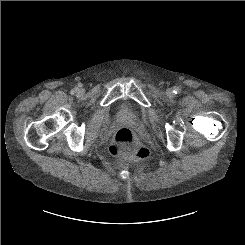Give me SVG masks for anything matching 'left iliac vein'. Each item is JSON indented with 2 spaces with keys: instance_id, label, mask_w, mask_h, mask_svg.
<instances>
[{
  "instance_id": "1",
  "label": "left iliac vein",
  "mask_w": 245,
  "mask_h": 245,
  "mask_svg": "<svg viewBox=\"0 0 245 245\" xmlns=\"http://www.w3.org/2000/svg\"><path fill=\"white\" fill-rule=\"evenodd\" d=\"M167 93H168V95H170V96L173 94L172 90H168Z\"/></svg>"
}]
</instances>
